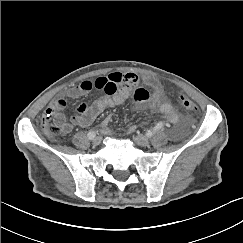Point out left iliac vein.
Masks as SVG:
<instances>
[{
	"label": "left iliac vein",
	"mask_w": 243,
	"mask_h": 243,
	"mask_svg": "<svg viewBox=\"0 0 243 243\" xmlns=\"http://www.w3.org/2000/svg\"><path fill=\"white\" fill-rule=\"evenodd\" d=\"M134 141L136 144H138L139 146H142V147L149 146V144H150L149 138H147L146 136H143V135H136L134 137Z\"/></svg>",
	"instance_id": "1"
}]
</instances>
